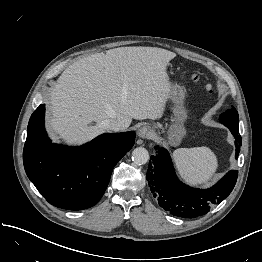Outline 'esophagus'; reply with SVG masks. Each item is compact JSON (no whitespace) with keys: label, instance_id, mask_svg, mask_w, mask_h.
Listing matches in <instances>:
<instances>
[{"label":"esophagus","instance_id":"1","mask_svg":"<svg viewBox=\"0 0 262 262\" xmlns=\"http://www.w3.org/2000/svg\"><path fill=\"white\" fill-rule=\"evenodd\" d=\"M138 136L143 139H151L153 137V131L149 126H142L137 132Z\"/></svg>","mask_w":262,"mask_h":262}]
</instances>
